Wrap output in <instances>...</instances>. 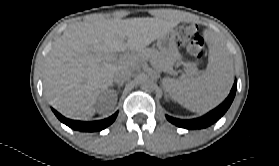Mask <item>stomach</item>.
Segmentation results:
<instances>
[{
  "label": "stomach",
  "mask_w": 279,
  "mask_h": 166,
  "mask_svg": "<svg viewBox=\"0 0 279 166\" xmlns=\"http://www.w3.org/2000/svg\"><path fill=\"white\" fill-rule=\"evenodd\" d=\"M157 47L161 53L172 60V64L179 66L183 63V56L178 52L175 34L173 31H170L164 36L158 38Z\"/></svg>",
  "instance_id": "stomach-1"
}]
</instances>
